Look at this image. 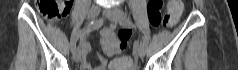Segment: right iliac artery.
<instances>
[{"instance_id": "82829eb1", "label": "right iliac artery", "mask_w": 238, "mask_h": 70, "mask_svg": "<svg viewBox=\"0 0 238 70\" xmlns=\"http://www.w3.org/2000/svg\"><path fill=\"white\" fill-rule=\"evenodd\" d=\"M103 25V20H92L87 26H85L83 29H81L78 34L76 39L71 43V49L72 51H74L76 49V43L78 38H80L81 36H83L85 33L91 31V30H95L100 28Z\"/></svg>"}]
</instances>
